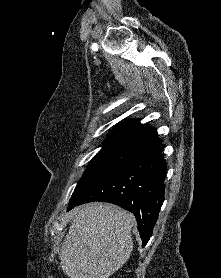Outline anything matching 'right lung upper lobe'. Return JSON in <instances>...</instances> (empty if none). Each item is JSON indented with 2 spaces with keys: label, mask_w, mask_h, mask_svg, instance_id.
Masks as SVG:
<instances>
[{
  "label": "right lung upper lobe",
  "mask_w": 221,
  "mask_h": 278,
  "mask_svg": "<svg viewBox=\"0 0 221 278\" xmlns=\"http://www.w3.org/2000/svg\"><path fill=\"white\" fill-rule=\"evenodd\" d=\"M107 141L129 145L133 148H145L160 143L155 129L143 126L137 120H128L114 128L106 137Z\"/></svg>",
  "instance_id": "1"
}]
</instances>
